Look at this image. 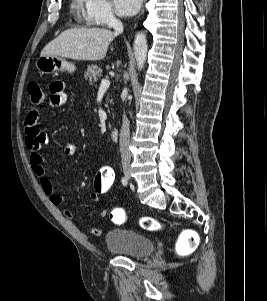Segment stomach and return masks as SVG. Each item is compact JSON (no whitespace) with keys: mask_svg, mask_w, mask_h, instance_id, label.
<instances>
[{"mask_svg":"<svg viewBox=\"0 0 267 301\" xmlns=\"http://www.w3.org/2000/svg\"><path fill=\"white\" fill-rule=\"evenodd\" d=\"M36 67L40 72L46 74H52L56 72L73 73L76 70V67L73 63L56 56H41L36 61Z\"/></svg>","mask_w":267,"mask_h":301,"instance_id":"stomach-1","label":"stomach"}]
</instances>
